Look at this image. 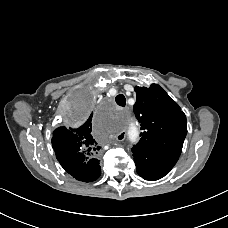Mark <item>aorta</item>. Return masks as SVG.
<instances>
[{
    "mask_svg": "<svg viewBox=\"0 0 228 228\" xmlns=\"http://www.w3.org/2000/svg\"><path fill=\"white\" fill-rule=\"evenodd\" d=\"M128 135L133 140L135 137H137V131L135 129H130Z\"/></svg>",
    "mask_w": 228,
    "mask_h": 228,
    "instance_id": "aorta-1",
    "label": "aorta"
}]
</instances>
